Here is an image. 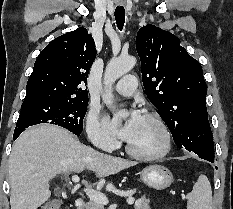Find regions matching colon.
Masks as SVG:
<instances>
[{
  "instance_id": "obj_1",
  "label": "colon",
  "mask_w": 233,
  "mask_h": 209,
  "mask_svg": "<svg viewBox=\"0 0 233 209\" xmlns=\"http://www.w3.org/2000/svg\"><path fill=\"white\" fill-rule=\"evenodd\" d=\"M42 209H61V203L58 199H53L46 202Z\"/></svg>"
}]
</instances>
